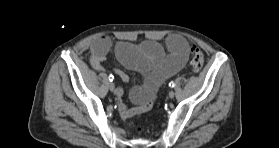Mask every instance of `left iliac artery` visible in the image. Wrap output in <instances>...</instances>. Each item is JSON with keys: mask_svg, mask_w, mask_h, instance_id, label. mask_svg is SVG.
Listing matches in <instances>:
<instances>
[{"mask_svg": "<svg viewBox=\"0 0 279 148\" xmlns=\"http://www.w3.org/2000/svg\"><path fill=\"white\" fill-rule=\"evenodd\" d=\"M169 86H170L171 88H173V87L175 86V83H174L173 81H171V82L169 83Z\"/></svg>", "mask_w": 279, "mask_h": 148, "instance_id": "44dca946", "label": "left iliac artery"}]
</instances>
